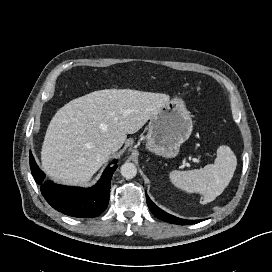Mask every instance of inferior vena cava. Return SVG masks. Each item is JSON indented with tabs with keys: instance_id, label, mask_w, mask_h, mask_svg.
<instances>
[{
	"instance_id": "obj_1",
	"label": "inferior vena cava",
	"mask_w": 272,
	"mask_h": 272,
	"mask_svg": "<svg viewBox=\"0 0 272 272\" xmlns=\"http://www.w3.org/2000/svg\"><path fill=\"white\" fill-rule=\"evenodd\" d=\"M104 146L110 152H115L119 149V145L113 140L107 141Z\"/></svg>"
}]
</instances>
